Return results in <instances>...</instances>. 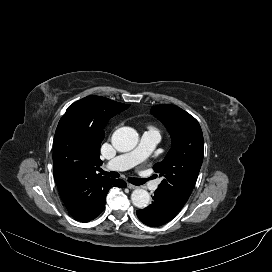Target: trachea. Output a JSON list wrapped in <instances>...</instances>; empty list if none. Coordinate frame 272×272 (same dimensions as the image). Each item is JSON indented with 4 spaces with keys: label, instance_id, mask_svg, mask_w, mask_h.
Returning <instances> with one entry per match:
<instances>
[{
    "label": "trachea",
    "instance_id": "trachea-1",
    "mask_svg": "<svg viewBox=\"0 0 272 272\" xmlns=\"http://www.w3.org/2000/svg\"><path fill=\"white\" fill-rule=\"evenodd\" d=\"M99 172L102 174V175H105V176H109V177H112V178H118L120 175L118 172H115V171H111V172H107V171H104L102 169H99ZM153 177H151L150 179H152ZM128 181L133 184V185H142L144 184L147 179H141V178H128Z\"/></svg>",
    "mask_w": 272,
    "mask_h": 272
}]
</instances>
